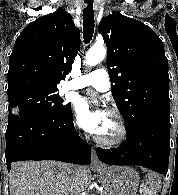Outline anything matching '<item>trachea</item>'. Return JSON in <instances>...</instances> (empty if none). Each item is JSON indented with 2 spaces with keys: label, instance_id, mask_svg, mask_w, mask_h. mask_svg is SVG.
<instances>
[{
  "label": "trachea",
  "instance_id": "obj_1",
  "mask_svg": "<svg viewBox=\"0 0 178 195\" xmlns=\"http://www.w3.org/2000/svg\"><path fill=\"white\" fill-rule=\"evenodd\" d=\"M86 7L83 9V37L84 43L92 39L95 27L93 0H84Z\"/></svg>",
  "mask_w": 178,
  "mask_h": 195
}]
</instances>
